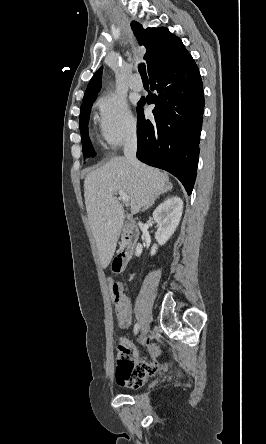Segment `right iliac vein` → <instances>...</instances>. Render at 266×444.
Returning a JSON list of instances; mask_svg holds the SVG:
<instances>
[{"mask_svg":"<svg viewBox=\"0 0 266 444\" xmlns=\"http://www.w3.org/2000/svg\"><path fill=\"white\" fill-rule=\"evenodd\" d=\"M149 331V325L147 323H144L141 328V337H145Z\"/></svg>","mask_w":266,"mask_h":444,"instance_id":"right-iliac-vein-1","label":"right iliac vein"}]
</instances>
